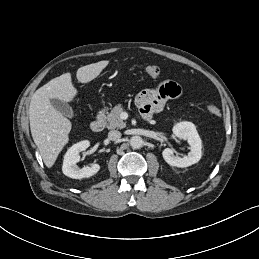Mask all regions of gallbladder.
Masks as SVG:
<instances>
[{
    "mask_svg": "<svg viewBox=\"0 0 259 259\" xmlns=\"http://www.w3.org/2000/svg\"><path fill=\"white\" fill-rule=\"evenodd\" d=\"M50 101H51L52 106L57 111L62 113L64 116H66L68 118H74L73 110L69 104H67L64 101L58 100V99H51Z\"/></svg>",
    "mask_w": 259,
    "mask_h": 259,
    "instance_id": "bac80fb5",
    "label": "gallbladder"
}]
</instances>
